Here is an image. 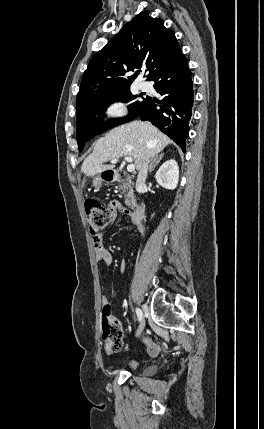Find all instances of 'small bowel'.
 Listing matches in <instances>:
<instances>
[{
    "instance_id": "small-bowel-1",
    "label": "small bowel",
    "mask_w": 264,
    "mask_h": 429,
    "mask_svg": "<svg viewBox=\"0 0 264 429\" xmlns=\"http://www.w3.org/2000/svg\"><path fill=\"white\" fill-rule=\"evenodd\" d=\"M117 217L116 208L113 210L112 219L114 221ZM140 230L143 234H145L146 229L143 225L140 226ZM93 245L96 253V257L99 263H101L104 267L108 268L113 262V256L109 250H107L102 243L101 236L98 238H93ZM125 270V265L121 266V271ZM107 305L106 299L103 300V307ZM144 342L147 345V351L150 356H156L160 351V346L148 337L144 338Z\"/></svg>"
}]
</instances>
